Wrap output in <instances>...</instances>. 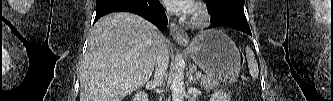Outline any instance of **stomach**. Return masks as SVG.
I'll use <instances>...</instances> for the list:
<instances>
[{"instance_id":"obj_1","label":"stomach","mask_w":333,"mask_h":101,"mask_svg":"<svg viewBox=\"0 0 333 101\" xmlns=\"http://www.w3.org/2000/svg\"><path fill=\"white\" fill-rule=\"evenodd\" d=\"M193 61L214 80L234 83L240 73L241 57L235 43L218 30L200 33L188 47Z\"/></svg>"}]
</instances>
